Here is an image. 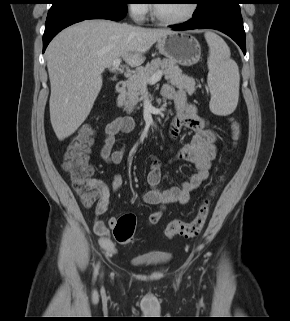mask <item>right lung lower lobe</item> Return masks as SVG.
<instances>
[{
	"label": "right lung lower lobe",
	"instance_id": "right-lung-lower-lobe-1",
	"mask_svg": "<svg viewBox=\"0 0 290 321\" xmlns=\"http://www.w3.org/2000/svg\"><path fill=\"white\" fill-rule=\"evenodd\" d=\"M127 13V7L85 8L73 5L51 7L45 24L43 35V52L49 42L62 29L86 19L121 20Z\"/></svg>",
	"mask_w": 290,
	"mask_h": 321
}]
</instances>
